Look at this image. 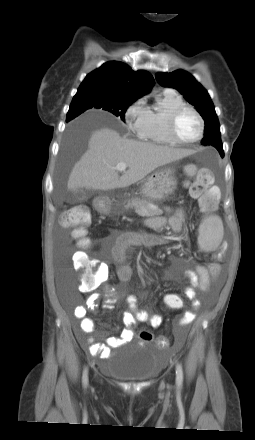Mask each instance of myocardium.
<instances>
[{"instance_id": "1", "label": "myocardium", "mask_w": 255, "mask_h": 440, "mask_svg": "<svg viewBox=\"0 0 255 440\" xmlns=\"http://www.w3.org/2000/svg\"><path fill=\"white\" fill-rule=\"evenodd\" d=\"M185 111H190L193 114H195V116L198 118L199 125H200L198 136L195 139L190 140V141L182 140L177 134L178 119H179L180 115L182 113H184ZM167 130H168V134H169L171 140L175 144L193 145V144L199 142L203 138L204 130H205V121H204L202 115L194 107L185 104L183 106H180V107L174 109L169 114L168 121H167Z\"/></svg>"}]
</instances>
